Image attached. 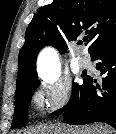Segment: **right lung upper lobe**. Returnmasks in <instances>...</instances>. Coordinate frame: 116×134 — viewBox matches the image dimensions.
Returning <instances> with one entry per match:
<instances>
[{"mask_svg": "<svg viewBox=\"0 0 116 134\" xmlns=\"http://www.w3.org/2000/svg\"><path fill=\"white\" fill-rule=\"evenodd\" d=\"M85 35L92 55L116 40V1L53 0L34 15L18 56L16 94L38 82L36 58L44 46L67 53V43Z\"/></svg>", "mask_w": 116, "mask_h": 134, "instance_id": "cb5924a9", "label": "right lung upper lobe"}]
</instances>
